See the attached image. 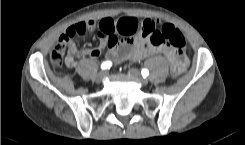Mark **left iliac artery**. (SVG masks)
<instances>
[{
  "label": "left iliac artery",
  "mask_w": 245,
  "mask_h": 145,
  "mask_svg": "<svg viewBox=\"0 0 245 145\" xmlns=\"http://www.w3.org/2000/svg\"><path fill=\"white\" fill-rule=\"evenodd\" d=\"M141 74L144 78H146L149 75V71L147 69H142Z\"/></svg>",
  "instance_id": "1"
}]
</instances>
